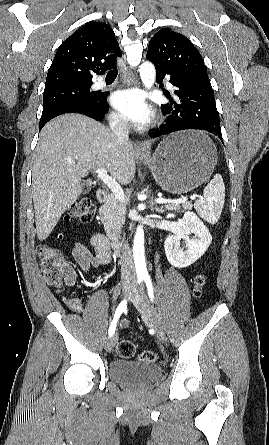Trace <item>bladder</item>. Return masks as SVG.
Listing matches in <instances>:
<instances>
[{"mask_svg":"<svg viewBox=\"0 0 269 445\" xmlns=\"http://www.w3.org/2000/svg\"><path fill=\"white\" fill-rule=\"evenodd\" d=\"M108 374L118 384L143 387L158 380L162 374V369L155 364L115 359L109 364Z\"/></svg>","mask_w":269,"mask_h":445,"instance_id":"1","label":"bladder"}]
</instances>
